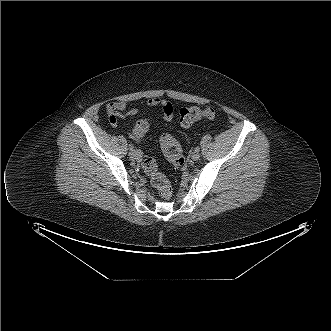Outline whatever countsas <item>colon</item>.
I'll return each mask as SVG.
<instances>
[{"mask_svg": "<svg viewBox=\"0 0 331 331\" xmlns=\"http://www.w3.org/2000/svg\"><path fill=\"white\" fill-rule=\"evenodd\" d=\"M216 113L212 108H200L197 106L184 107L179 112V122L181 126L188 127L194 122L206 119H214ZM148 130V122L139 120L135 124L133 132L138 137H143ZM161 149L169 161L176 169L183 168L185 165V157L178 140L171 134L165 133L160 137ZM142 167L144 172L149 176L151 184L158 190L160 196L168 200L172 196V187L166 178L161 173L155 160L152 157L144 156L142 159Z\"/></svg>", "mask_w": 331, "mask_h": 331, "instance_id": "obj_1", "label": "colon"}]
</instances>
